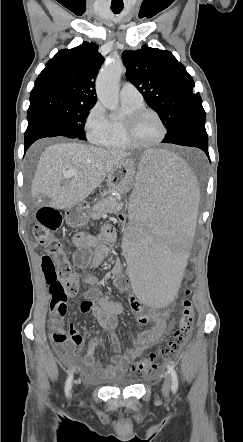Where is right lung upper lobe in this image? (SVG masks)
<instances>
[{
	"mask_svg": "<svg viewBox=\"0 0 243 442\" xmlns=\"http://www.w3.org/2000/svg\"><path fill=\"white\" fill-rule=\"evenodd\" d=\"M103 63L95 43L62 49L39 74L30 97L57 94L85 104L97 101L95 79Z\"/></svg>",
	"mask_w": 243,
	"mask_h": 442,
	"instance_id": "cb5924a9",
	"label": "right lung upper lobe"
}]
</instances>
